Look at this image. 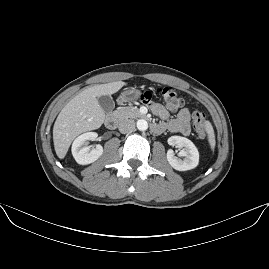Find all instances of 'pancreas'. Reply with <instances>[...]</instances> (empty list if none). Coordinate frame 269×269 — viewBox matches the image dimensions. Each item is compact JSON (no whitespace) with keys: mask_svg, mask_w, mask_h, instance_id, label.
Listing matches in <instances>:
<instances>
[{"mask_svg":"<svg viewBox=\"0 0 269 269\" xmlns=\"http://www.w3.org/2000/svg\"><path fill=\"white\" fill-rule=\"evenodd\" d=\"M113 115L120 121H123L128 118H137L141 117L143 114L139 111L137 107L127 106V107H118Z\"/></svg>","mask_w":269,"mask_h":269,"instance_id":"obj_1","label":"pancreas"}]
</instances>
